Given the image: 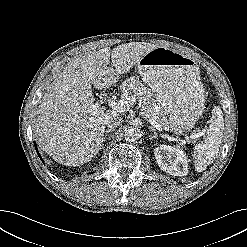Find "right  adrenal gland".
<instances>
[{"label":"right adrenal gland","instance_id":"obj_1","mask_svg":"<svg viewBox=\"0 0 247 247\" xmlns=\"http://www.w3.org/2000/svg\"><path fill=\"white\" fill-rule=\"evenodd\" d=\"M112 130H113V129L110 128V129L104 131V137H103V141H104V142H105V138L107 137V135H108Z\"/></svg>","mask_w":247,"mask_h":247}]
</instances>
